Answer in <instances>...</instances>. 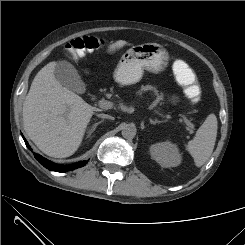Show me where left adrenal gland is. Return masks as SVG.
I'll use <instances>...</instances> for the list:
<instances>
[{
	"label": "left adrenal gland",
	"instance_id": "left-adrenal-gland-1",
	"mask_svg": "<svg viewBox=\"0 0 245 245\" xmlns=\"http://www.w3.org/2000/svg\"><path fill=\"white\" fill-rule=\"evenodd\" d=\"M162 122H164V121H160L158 119H155V120L150 119L151 124L162 123Z\"/></svg>",
	"mask_w": 245,
	"mask_h": 245
}]
</instances>
